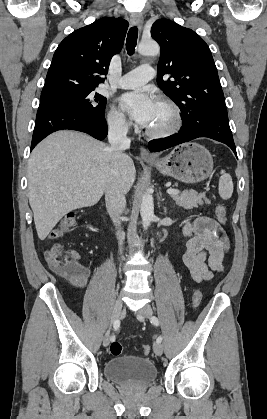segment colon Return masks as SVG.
<instances>
[{
	"mask_svg": "<svg viewBox=\"0 0 267 419\" xmlns=\"http://www.w3.org/2000/svg\"><path fill=\"white\" fill-rule=\"evenodd\" d=\"M215 214L220 223L226 222V208L222 204H218L215 208ZM76 213L66 214L58 223L56 228L50 233L49 239L56 240L69 231L77 222ZM45 259L49 267L56 273L66 277H76L83 273L84 267L79 263V255L74 250L65 249L60 244L50 245L44 252ZM202 301V294L199 290H195L192 296V304L197 308ZM123 347L119 341L110 344L109 352L113 356H119ZM141 351L147 355L150 352L149 345H142Z\"/></svg>",
	"mask_w": 267,
	"mask_h": 419,
	"instance_id": "5ec220e1",
	"label": "colon"
}]
</instances>
